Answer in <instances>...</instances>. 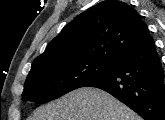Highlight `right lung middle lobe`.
<instances>
[{
    "label": "right lung middle lobe",
    "mask_w": 165,
    "mask_h": 120,
    "mask_svg": "<svg viewBox=\"0 0 165 120\" xmlns=\"http://www.w3.org/2000/svg\"><path fill=\"white\" fill-rule=\"evenodd\" d=\"M116 63L91 58H72L31 67L22 98L46 103L83 87L113 70Z\"/></svg>",
    "instance_id": "dd1d6c3e"
}]
</instances>
